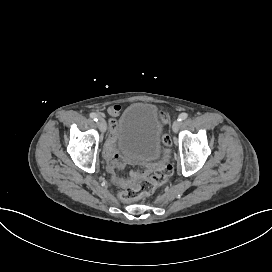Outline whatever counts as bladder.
Listing matches in <instances>:
<instances>
[{"instance_id": "1", "label": "bladder", "mask_w": 272, "mask_h": 272, "mask_svg": "<svg viewBox=\"0 0 272 272\" xmlns=\"http://www.w3.org/2000/svg\"><path fill=\"white\" fill-rule=\"evenodd\" d=\"M116 148L130 160L155 163L162 152L165 120L154 104H129L118 122Z\"/></svg>"}]
</instances>
